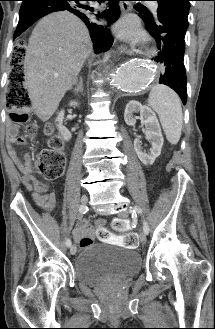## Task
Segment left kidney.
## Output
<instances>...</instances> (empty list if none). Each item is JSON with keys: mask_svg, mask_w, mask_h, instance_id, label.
<instances>
[{"mask_svg": "<svg viewBox=\"0 0 215 329\" xmlns=\"http://www.w3.org/2000/svg\"><path fill=\"white\" fill-rule=\"evenodd\" d=\"M134 113H140L143 118V122L147 127L146 139L151 142L152 148L148 153L143 151L141 141L139 138L134 140V149L144 165H151L155 159L160 155L161 148L164 143V139L161 133V128L155 113L147 106L142 105L140 102L132 100L125 108L124 120L127 125L134 126L136 123V117Z\"/></svg>", "mask_w": 215, "mask_h": 329, "instance_id": "obj_1", "label": "left kidney"}]
</instances>
